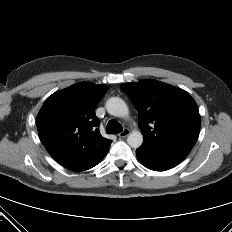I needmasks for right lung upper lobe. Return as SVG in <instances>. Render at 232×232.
<instances>
[{
	"instance_id": "right-lung-upper-lobe-1",
	"label": "right lung upper lobe",
	"mask_w": 232,
	"mask_h": 232,
	"mask_svg": "<svg viewBox=\"0 0 232 232\" xmlns=\"http://www.w3.org/2000/svg\"><path fill=\"white\" fill-rule=\"evenodd\" d=\"M106 91L105 85L77 83L49 96L39 111L40 140L64 167L100 160L107 154L112 141L101 136L95 116Z\"/></svg>"
}]
</instances>
